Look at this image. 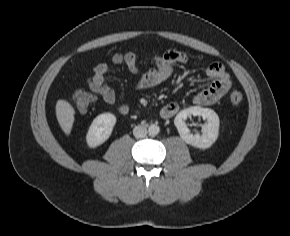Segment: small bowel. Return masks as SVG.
<instances>
[{
    "label": "small bowel",
    "mask_w": 290,
    "mask_h": 236,
    "mask_svg": "<svg viewBox=\"0 0 290 236\" xmlns=\"http://www.w3.org/2000/svg\"><path fill=\"white\" fill-rule=\"evenodd\" d=\"M188 61V55L182 51L170 50L163 55L153 58L154 66L149 68L139 77L136 88L138 90H147L166 81L173 73L176 64H184ZM111 62L116 65H124L127 69L139 74L138 58L133 52L115 53L111 57ZM109 72V65L106 63L98 64L93 74L88 78L89 89L101 96L108 106H116V96L114 91L107 85L106 77ZM207 75L211 78V83L207 88L197 93L193 101L197 106H208L219 101L230 89L232 80L230 74L226 71L223 64L214 62L207 68ZM117 110L120 114L126 115L129 112L127 104H119ZM180 111V105L177 102H170L164 105L159 116L163 120L173 118Z\"/></svg>",
    "instance_id": "obj_1"
}]
</instances>
